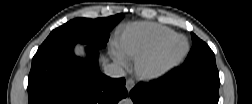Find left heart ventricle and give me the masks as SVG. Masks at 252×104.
<instances>
[{
  "label": "left heart ventricle",
  "instance_id": "obj_1",
  "mask_svg": "<svg viewBox=\"0 0 252 104\" xmlns=\"http://www.w3.org/2000/svg\"><path fill=\"white\" fill-rule=\"evenodd\" d=\"M185 41L182 38L174 39L164 50L162 56L164 58H172L179 55L185 48Z\"/></svg>",
  "mask_w": 252,
  "mask_h": 104
}]
</instances>
